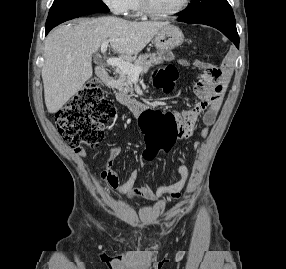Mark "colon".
Segmentation results:
<instances>
[{
	"label": "colon",
	"instance_id": "1",
	"mask_svg": "<svg viewBox=\"0 0 286 269\" xmlns=\"http://www.w3.org/2000/svg\"><path fill=\"white\" fill-rule=\"evenodd\" d=\"M158 59L162 62H176L172 49H157ZM195 70H199V82L194 88H203L205 92L218 95L221 88V72L226 65H212L204 61H193ZM177 78V69L168 65L154 75V84L170 92ZM114 106L104 93L102 86L91 80L78 94L56 113V126L63 140L76 152L83 145L97 146L103 139L105 125L114 115ZM142 134L146 137L141 154L149 160L163 159L176 142L181 139V133L174 121L172 111H162V106L144 108L143 116H138Z\"/></svg>",
	"mask_w": 286,
	"mask_h": 269
}]
</instances>
